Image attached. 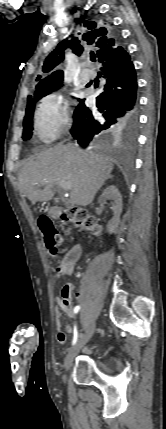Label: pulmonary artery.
<instances>
[{
    "label": "pulmonary artery",
    "mask_w": 166,
    "mask_h": 429,
    "mask_svg": "<svg viewBox=\"0 0 166 429\" xmlns=\"http://www.w3.org/2000/svg\"><path fill=\"white\" fill-rule=\"evenodd\" d=\"M90 65H91L90 61H87L85 65V69L83 71L84 75H83V78L81 79V82L83 84L89 81L93 77V71L90 69Z\"/></svg>",
    "instance_id": "1"
}]
</instances>
